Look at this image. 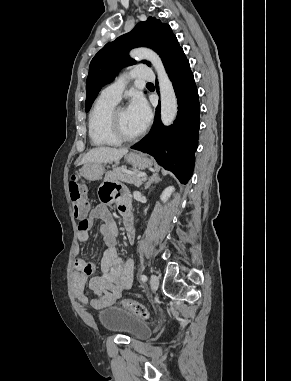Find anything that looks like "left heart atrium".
Instances as JSON below:
<instances>
[{
    "label": "left heart atrium",
    "instance_id": "obj_1",
    "mask_svg": "<svg viewBox=\"0 0 291 381\" xmlns=\"http://www.w3.org/2000/svg\"><path fill=\"white\" fill-rule=\"evenodd\" d=\"M127 110L141 130L148 125L151 118V111L146 100L141 95L137 94L133 96Z\"/></svg>",
    "mask_w": 291,
    "mask_h": 381
}]
</instances>
